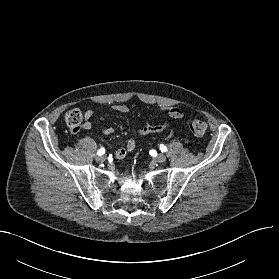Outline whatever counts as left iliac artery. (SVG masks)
<instances>
[{
    "mask_svg": "<svg viewBox=\"0 0 279 279\" xmlns=\"http://www.w3.org/2000/svg\"><path fill=\"white\" fill-rule=\"evenodd\" d=\"M160 150H161L162 152H166V151H167V148H166V146H164V145H160Z\"/></svg>",
    "mask_w": 279,
    "mask_h": 279,
    "instance_id": "1",
    "label": "left iliac artery"
}]
</instances>
